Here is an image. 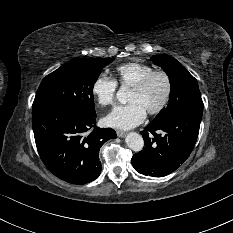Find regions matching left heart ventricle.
Masks as SVG:
<instances>
[{
    "label": "left heart ventricle",
    "instance_id": "obj_1",
    "mask_svg": "<svg viewBox=\"0 0 233 233\" xmlns=\"http://www.w3.org/2000/svg\"><path fill=\"white\" fill-rule=\"evenodd\" d=\"M165 88L164 78L162 76H156L145 90L141 92L131 90L129 102L139 103L148 112L160 104L165 93Z\"/></svg>",
    "mask_w": 233,
    "mask_h": 233
}]
</instances>
